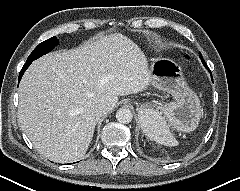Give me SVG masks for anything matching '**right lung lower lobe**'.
Segmentation results:
<instances>
[{"label": "right lung lower lobe", "instance_id": "right-lung-lower-lobe-1", "mask_svg": "<svg viewBox=\"0 0 240 191\" xmlns=\"http://www.w3.org/2000/svg\"><path fill=\"white\" fill-rule=\"evenodd\" d=\"M31 64V62H26L22 68V70L20 71V74H19V81L20 79L22 78V75L24 74L25 70L28 68V66Z\"/></svg>", "mask_w": 240, "mask_h": 191}]
</instances>
